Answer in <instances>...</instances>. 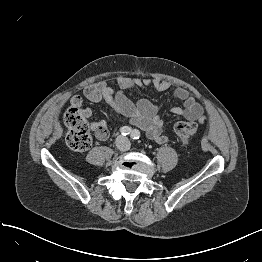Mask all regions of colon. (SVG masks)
<instances>
[{
    "mask_svg": "<svg viewBox=\"0 0 262 262\" xmlns=\"http://www.w3.org/2000/svg\"><path fill=\"white\" fill-rule=\"evenodd\" d=\"M66 141L76 151L88 149L92 143L89 123L85 114L76 105H70L64 114ZM175 132L182 144L187 146L196 132L197 124L192 121H180L175 124Z\"/></svg>",
    "mask_w": 262,
    "mask_h": 262,
    "instance_id": "5ec220e1",
    "label": "colon"
}]
</instances>
